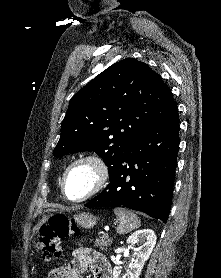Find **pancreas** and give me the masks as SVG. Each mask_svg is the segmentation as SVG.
<instances>
[{"label": "pancreas", "mask_w": 221, "mask_h": 278, "mask_svg": "<svg viewBox=\"0 0 221 278\" xmlns=\"http://www.w3.org/2000/svg\"><path fill=\"white\" fill-rule=\"evenodd\" d=\"M111 243L112 239H109L108 235L104 234L99 239H96L94 246L99 247V249L103 250Z\"/></svg>", "instance_id": "pancreas-1"}]
</instances>
